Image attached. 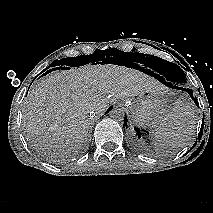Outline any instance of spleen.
Wrapping results in <instances>:
<instances>
[{
    "label": "spleen",
    "mask_w": 213,
    "mask_h": 213,
    "mask_svg": "<svg viewBox=\"0 0 213 213\" xmlns=\"http://www.w3.org/2000/svg\"><path fill=\"white\" fill-rule=\"evenodd\" d=\"M192 102L177 103L171 110L159 117L158 126L152 131L154 145L165 150H173L184 145L195 123Z\"/></svg>",
    "instance_id": "obj_1"
}]
</instances>
